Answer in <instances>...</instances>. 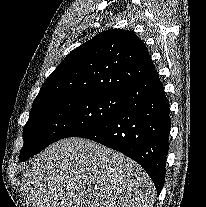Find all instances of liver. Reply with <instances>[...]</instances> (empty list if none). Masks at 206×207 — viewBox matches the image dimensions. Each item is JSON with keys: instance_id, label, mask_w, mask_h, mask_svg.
<instances>
[{"instance_id": "obj_1", "label": "liver", "mask_w": 206, "mask_h": 207, "mask_svg": "<svg viewBox=\"0 0 206 207\" xmlns=\"http://www.w3.org/2000/svg\"><path fill=\"white\" fill-rule=\"evenodd\" d=\"M22 183L33 207H153L155 200L141 166L78 137L59 140L29 160Z\"/></svg>"}]
</instances>
